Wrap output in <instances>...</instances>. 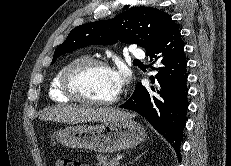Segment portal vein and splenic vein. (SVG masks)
<instances>
[{
	"label": "portal vein and splenic vein",
	"instance_id": "1",
	"mask_svg": "<svg viewBox=\"0 0 231 166\" xmlns=\"http://www.w3.org/2000/svg\"><path fill=\"white\" fill-rule=\"evenodd\" d=\"M120 159H122V157H117L114 159V161L118 163Z\"/></svg>",
	"mask_w": 231,
	"mask_h": 166
}]
</instances>
